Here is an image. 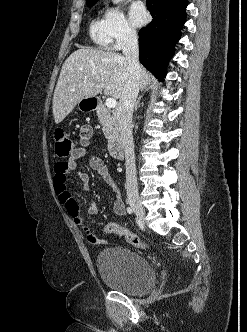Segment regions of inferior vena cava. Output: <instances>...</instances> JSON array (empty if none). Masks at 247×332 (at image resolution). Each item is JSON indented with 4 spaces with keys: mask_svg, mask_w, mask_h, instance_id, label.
<instances>
[{
    "mask_svg": "<svg viewBox=\"0 0 247 332\" xmlns=\"http://www.w3.org/2000/svg\"><path fill=\"white\" fill-rule=\"evenodd\" d=\"M122 51L127 60L128 81L117 107V123L125 152L127 198L128 200H134L138 199V185L131 122L141 78L138 38L135 30H127L122 44Z\"/></svg>",
    "mask_w": 247,
    "mask_h": 332,
    "instance_id": "1",
    "label": "inferior vena cava"
}]
</instances>
